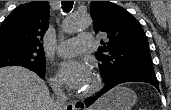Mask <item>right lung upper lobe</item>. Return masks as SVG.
Here are the masks:
<instances>
[{"instance_id":"1","label":"right lung upper lobe","mask_w":171,"mask_h":110,"mask_svg":"<svg viewBox=\"0 0 171 110\" xmlns=\"http://www.w3.org/2000/svg\"><path fill=\"white\" fill-rule=\"evenodd\" d=\"M48 1H32L18 6L0 26V44L42 49V40L49 24Z\"/></svg>"}]
</instances>
